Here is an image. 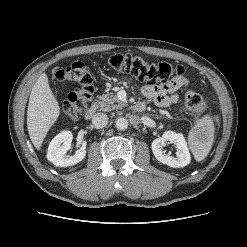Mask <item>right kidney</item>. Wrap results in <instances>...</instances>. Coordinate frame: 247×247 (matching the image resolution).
Returning <instances> with one entry per match:
<instances>
[{
    "label": "right kidney",
    "instance_id": "ca27d5eb",
    "mask_svg": "<svg viewBox=\"0 0 247 247\" xmlns=\"http://www.w3.org/2000/svg\"><path fill=\"white\" fill-rule=\"evenodd\" d=\"M73 135L70 131H62L56 135L49 144L47 159L56 166L67 167L72 166L82 161L86 156V144L83 145L74 155H67V151L71 147Z\"/></svg>",
    "mask_w": 247,
    "mask_h": 247
}]
</instances>
